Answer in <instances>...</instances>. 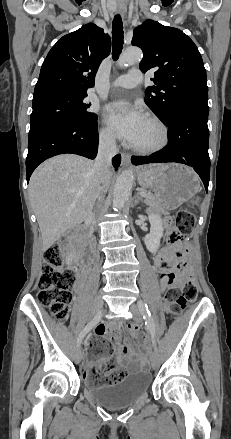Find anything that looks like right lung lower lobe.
Segmentation results:
<instances>
[{"instance_id":"right-lung-lower-lobe-1","label":"right lung lower lobe","mask_w":231,"mask_h":439,"mask_svg":"<svg viewBox=\"0 0 231 439\" xmlns=\"http://www.w3.org/2000/svg\"><path fill=\"white\" fill-rule=\"evenodd\" d=\"M98 143L97 120L87 122L61 119L30 129L26 158L27 181L40 163L55 155L73 153L94 159ZM112 163L118 168L121 156L116 155Z\"/></svg>"}]
</instances>
